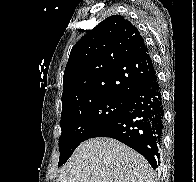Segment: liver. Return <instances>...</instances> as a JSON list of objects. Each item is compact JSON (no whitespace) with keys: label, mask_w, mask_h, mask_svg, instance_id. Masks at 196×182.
Returning a JSON list of instances; mask_svg holds the SVG:
<instances>
[{"label":"liver","mask_w":196,"mask_h":182,"mask_svg":"<svg viewBox=\"0 0 196 182\" xmlns=\"http://www.w3.org/2000/svg\"><path fill=\"white\" fill-rule=\"evenodd\" d=\"M57 182H156L146 159L111 138L81 143L64 165Z\"/></svg>","instance_id":"1"}]
</instances>
